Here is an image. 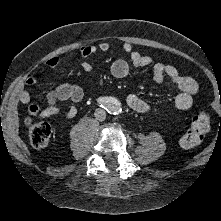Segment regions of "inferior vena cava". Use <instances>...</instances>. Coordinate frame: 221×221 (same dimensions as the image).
Returning <instances> with one entry per match:
<instances>
[{"mask_svg": "<svg viewBox=\"0 0 221 221\" xmlns=\"http://www.w3.org/2000/svg\"><path fill=\"white\" fill-rule=\"evenodd\" d=\"M94 115H95V118L99 121H104L106 118V112L103 109H96Z\"/></svg>", "mask_w": 221, "mask_h": 221, "instance_id": "inferior-vena-cava-1", "label": "inferior vena cava"}]
</instances>
